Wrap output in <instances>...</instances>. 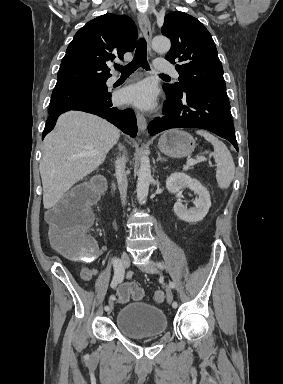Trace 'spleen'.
Here are the masks:
<instances>
[{
  "label": "spleen",
  "mask_w": 283,
  "mask_h": 384,
  "mask_svg": "<svg viewBox=\"0 0 283 384\" xmlns=\"http://www.w3.org/2000/svg\"><path fill=\"white\" fill-rule=\"evenodd\" d=\"M196 134L199 136H203L207 142H211L214 148V160L217 166L216 168V180L218 184V188H229L234 176H235V164L233 162V158L226 148L223 142H220L218 138L209 134V132H203V130H198Z\"/></svg>",
  "instance_id": "3e777b00"
}]
</instances>
